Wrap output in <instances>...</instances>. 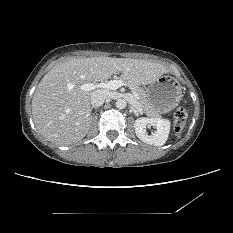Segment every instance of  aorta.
Here are the masks:
<instances>
[{"label": "aorta", "mask_w": 233, "mask_h": 233, "mask_svg": "<svg viewBox=\"0 0 233 233\" xmlns=\"http://www.w3.org/2000/svg\"><path fill=\"white\" fill-rule=\"evenodd\" d=\"M115 104L118 109H124L127 106V101L125 99H118Z\"/></svg>", "instance_id": "obj_1"}]
</instances>
